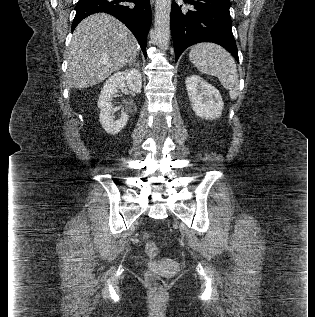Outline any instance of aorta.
<instances>
[{"instance_id": "obj_1", "label": "aorta", "mask_w": 315, "mask_h": 317, "mask_svg": "<svg viewBox=\"0 0 315 317\" xmlns=\"http://www.w3.org/2000/svg\"><path fill=\"white\" fill-rule=\"evenodd\" d=\"M171 0H156L155 35L160 48L166 50L170 42Z\"/></svg>"}]
</instances>
